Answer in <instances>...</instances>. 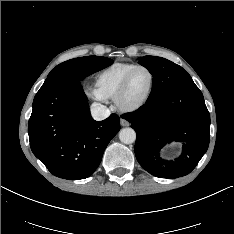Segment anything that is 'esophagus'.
<instances>
[{
  "mask_svg": "<svg viewBox=\"0 0 234 234\" xmlns=\"http://www.w3.org/2000/svg\"><path fill=\"white\" fill-rule=\"evenodd\" d=\"M121 125L122 126H129V122L126 119H124V117H121Z\"/></svg>",
  "mask_w": 234,
  "mask_h": 234,
  "instance_id": "esophagus-1",
  "label": "esophagus"
}]
</instances>
